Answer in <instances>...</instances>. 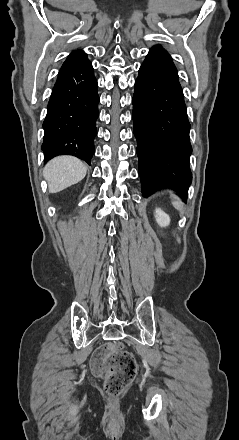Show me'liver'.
Masks as SVG:
<instances>
[{
    "label": "liver",
    "instance_id": "liver-1",
    "mask_svg": "<svg viewBox=\"0 0 239 440\" xmlns=\"http://www.w3.org/2000/svg\"><path fill=\"white\" fill-rule=\"evenodd\" d=\"M87 168L81 160L73 156H58L50 160L43 170V176L48 182L50 194L61 192L73 184H78L85 178Z\"/></svg>",
    "mask_w": 239,
    "mask_h": 440
}]
</instances>
